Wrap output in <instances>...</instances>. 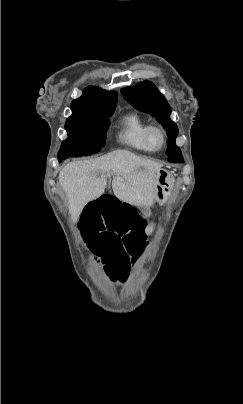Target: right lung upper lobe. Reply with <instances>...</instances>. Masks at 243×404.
Returning a JSON list of instances; mask_svg holds the SVG:
<instances>
[{
  "label": "right lung upper lobe",
  "mask_w": 243,
  "mask_h": 404,
  "mask_svg": "<svg viewBox=\"0 0 243 404\" xmlns=\"http://www.w3.org/2000/svg\"><path fill=\"white\" fill-rule=\"evenodd\" d=\"M117 93L89 86L71 103L73 115L89 114L116 107Z\"/></svg>",
  "instance_id": "1"
}]
</instances>
